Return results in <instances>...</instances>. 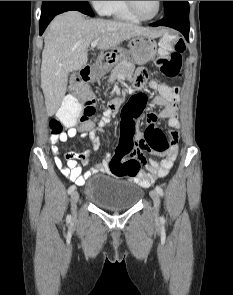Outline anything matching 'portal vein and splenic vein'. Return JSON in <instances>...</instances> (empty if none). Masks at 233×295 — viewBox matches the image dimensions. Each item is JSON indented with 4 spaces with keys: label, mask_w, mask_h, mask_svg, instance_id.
Here are the masks:
<instances>
[{
    "label": "portal vein and splenic vein",
    "mask_w": 233,
    "mask_h": 295,
    "mask_svg": "<svg viewBox=\"0 0 233 295\" xmlns=\"http://www.w3.org/2000/svg\"><path fill=\"white\" fill-rule=\"evenodd\" d=\"M98 40H94L92 43H91V48H95L97 45H98Z\"/></svg>",
    "instance_id": "obj_1"
}]
</instances>
